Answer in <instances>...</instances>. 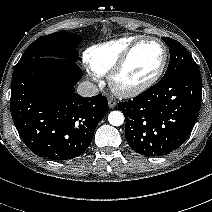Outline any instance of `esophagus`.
<instances>
[{
    "label": "esophagus",
    "instance_id": "esophagus-1",
    "mask_svg": "<svg viewBox=\"0 0 212 212\" xmlns=\"http://www.w3.org/2000/svg\"><path fill=\"white\" fill-rule=\"evenodd\" d=\"M108 105L111 109H113L116 106V101L113 99L108 100Z\"/></svg>",
    "mask_w": 212,
    "mask_h": 212
}]
</instances>
